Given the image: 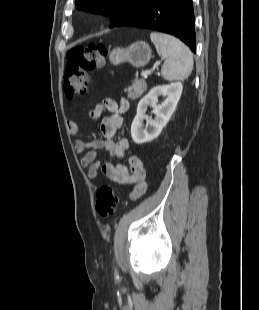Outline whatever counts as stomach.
<instances>
[{
    "label": "stomach",
    "instance_id": "obj_1",
    "mask_svg": "<svg viewBox=\"0 0 259 310\" xmlns=\"http://www.w3.org/2000/svg\"><path fill=\"white\" fill-rule=\"evenodd\" d=\"M109 59L113 65L128 62L136 68L144 67L151 59V48L147 43L139 41L127 48L113 49Z\"/></svg>",
    "mask_w": 259,
    "mask_h": 310
}]
</instances>
